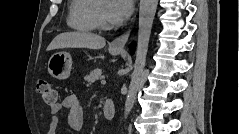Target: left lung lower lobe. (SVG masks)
Listing matches in <instances>:
<instances>
[{"label": "left lung lower lobe", "instance_id": "1", "mask_svg": "<svg viewBox=\"0 0 239 134\" xmlns=\"http://www.w3.org/2000/svg\"><path fill=\"white\" fill-rule=\"evenodd\" d=\"M134 48H135V44H132V47L130 48L131 52L134 53Z\"/></svg>", "mask_w": 239, "mask_h": 134}]
</instances>
